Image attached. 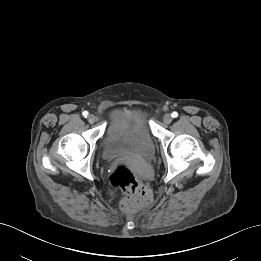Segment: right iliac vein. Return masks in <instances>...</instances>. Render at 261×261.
<instances>
[{"mask_svg":"<svg viewBox=\"0 0 261 261\" xmlns=\"http://www.w3.org/2000/svg\"><path fill=\"white\" fill-rule=\"evenodd\" d=\"M95 121H96V116L93 115V114H90V115L88 116V122H89L90 124H93V123H95Z\"/></svg>","mask_w":261,"mask_h":261,"instance_id":"63e3f726","label":"right iliac vein"}]
</instances>
